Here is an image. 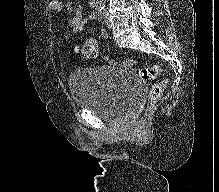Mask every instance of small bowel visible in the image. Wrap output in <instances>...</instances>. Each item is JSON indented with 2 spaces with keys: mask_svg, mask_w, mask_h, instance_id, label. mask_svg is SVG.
I'll return each instance as SVG.
<instances>
[{
  "mask_svg": "<svg viewBox=\"0 0 219 192\" xmlns=\"http://www.w3.org/2000/svg\"><path fill=\"white\" fill-rule=\"evenodd\" d=\"M63 6L64 5L61 0H52L50 2V7L56 11H61L63 9ZM65 7L67 11L72 13V16L69 20V25L75 33H80L88 21L96 18V14L94 12H91L87 16H84L83 8L81 6L74 7L71 1H66ZM101 34L103 37L107 36V32L104 30L101 31Z\"/></svg>",
  "mask_w": 219,
  "mask_h": 192,
  "instance_id": "1",
  "label": "small bowel"
}]
</instances>
